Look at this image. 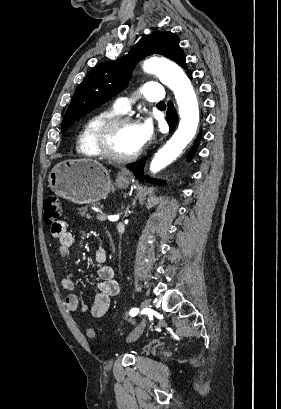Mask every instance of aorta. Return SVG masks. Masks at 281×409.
Here are the masks:
<instances>
[{"label": "aorta", "mask_w": 281, "mask_h": 409, "mask_svg": "<svg viewBox=\"0 0 281 409\" xmlns=\"http://www.w3.org/2000/svg\"><path fill=\"white\" fill-rule=\"evenodd\" d=\"M144 71L155 74L175 95L180 123L171 139L154 156L150 170L156 173L172 163L196 134L199 106L193 86L184 71L175 63L158 57L144 61Z\"/></svg>", "instance_id": "obj_1"}]
</instances>
